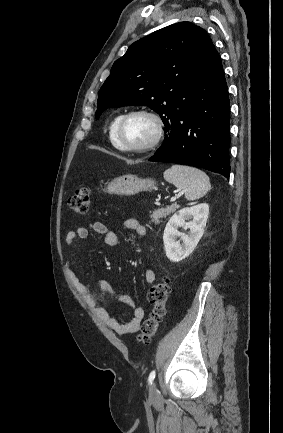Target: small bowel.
I'll list each match as a JSON object with an SVG mask.
<instances>
[{"mask_svg": "<svg viewBox=\"0 0 283 433\" xmlns=\"http://www.w3.org/2000/svg\"><path fill=\"white\" fill-rule=\"evenodd\" d=\"M124 227L127 230L134 231L140 237H144L147 234L146 227L141 225L134 218L125 220ZM91 231L102 235L104 237V242L108 246L113 247L119 244L118 234L108 229L103 223L98 221L90 222L86 226H80L74 231H69L65 236V243L68 246H72L80 239H87ZM66 270L73 287L85 299L91 311L101 320L104 325L118 334H130L139 330L141 322L145 316V310L142 306L137 305L129 296L125 294H119V300L130 307L133 312V316L129 321L120 323L104 306L97 302V299L90 293L89 288L81 281L74 267V259L72 256H70L66 261ZM144 278L147 283L152 284L156 278L155 271L153 269H147L145 271ZM99 288L103 295L113 291L111 285L106 281H101L99 283Z\"/></svg>", "mask_w": 283, "mask_h": 433, "instance_id": "c3829d8e", "label": "small bowel"}]
</instances>
